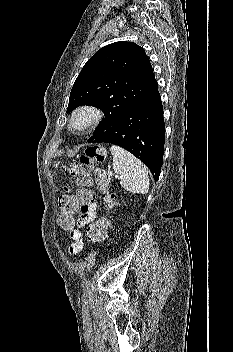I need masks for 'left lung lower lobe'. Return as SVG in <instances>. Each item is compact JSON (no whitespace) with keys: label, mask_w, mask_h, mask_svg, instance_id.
Instances as JSON below:
<instances>
[{"label":"left lung lower lobe","mask_w":233,"mask_h":352,"mask_svg":"<svg viewBox=\"0 0 233 352\" xmlns=\"http://www.w3.org/2000/svg\"><path fill=\"white\" fill-rule=\"evenodd\" d=\"M164 137L163 106L157 86L89 143H111L123 147L145 163L157 181L162 166Z\"/></svg>","instance_id":"0a47b994"}]
</instances>
